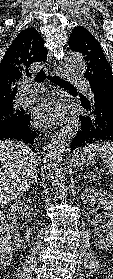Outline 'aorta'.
<instances>
[{
  "label": "aorta",
  "mask_w": 113,
  "mask_h": 279,
  "mask_svg": "<svg viewBox=\"0 0 113 279\" xmlns=\"http://www.w3.org/2000/svg\"><path fill=\"white\" fill-rule=\"evenodd\" d=\"M65 66L73 74H83L86 70V61L78 52L67 51L65 53ZM81 128L79 118H73L51 139L45 148L43 169L52 185L58 189H64V174L61 165V154L70 145L73 138Z\"/></svg>",
  "instance_id": "1"
}]
</instances>
